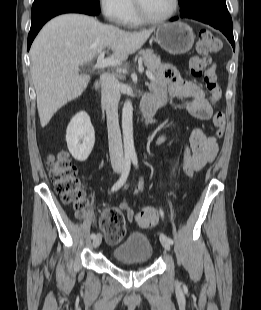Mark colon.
<instances>
[{"label": "colon", "instance_id": "obj_1", "mask_svg": "<svg viewBox=\"0 0 261 310\" xmlns=\"http://www.w3.org/2000/svg\"><path fill=\"white\" fill-rule=\"evenodd\" d=\"M196 48L201 57H196L190 62V73L193 77H203L204 86L213 104L219 102L222 96L221 88L217 81L215 66L210 58L211 53L221 49V41L209 30L202 29L198 34ZM225 115L216 112L213 116L215 138H221L225 130ZM183 169L187 176L193 173L192 149L186 146L182 154ZM48 172L54 185V190L65 204L72 206L79 217L84 215L87 206L86 192L78 175L77 168L69 159L66 152H59L49 157ZM105 208L100 219V226L105 233L109 244L119 243L125 236V218L115 209ZM140 227L148 228L158 221V213L152 207H147L135 216Z\"/></svg>", "mask_w": 261, "mask_h": 310}]
</instances>
